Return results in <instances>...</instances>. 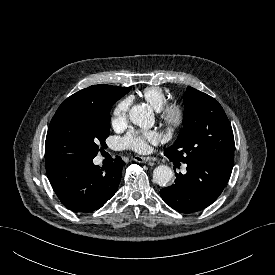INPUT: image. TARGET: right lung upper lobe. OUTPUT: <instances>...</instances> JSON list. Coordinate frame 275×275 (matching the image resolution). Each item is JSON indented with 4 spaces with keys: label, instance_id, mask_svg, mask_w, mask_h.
<instances>
[{
    "label": "right lung upper lobe",
    "instance_id": "1",
    "mask_svg": "<svg viewBox=\"0 0 275 275\" xmlns=\"http://www.w3.org/2000/svg\"><path fill=\"white\" fill-rule=\"evenodd\" d=\"M130 87H115L111 85H93L68 97L56 113L73 110L85 105L99 106L128 93Z\"/></svg>",
    "mask_w": 275,
    "mask_h": 275
}]
</instances>
